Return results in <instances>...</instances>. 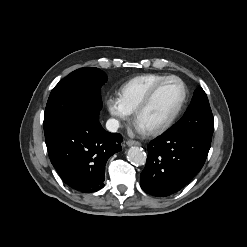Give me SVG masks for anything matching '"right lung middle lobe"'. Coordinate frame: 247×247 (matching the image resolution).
<instances>
[{
    "label": "right lung middle lobe",
    "mask_w": 247,
    "mask_h": 247,
    "mask_svg": "<svg viewBox=\"0 0 247 247\" xmlns=\"http://www.w3.org/2000/svg\"><path fill=\"white\" fill-rule=\"evenodd\" d=\"M106 81V74L95 67L77 69L62 79L49 96L44 132L72 121L98 117L102 108L100 88Z\"/></svg>",
    "instance_id": "dd1d6c3e"
}]
</instances>
